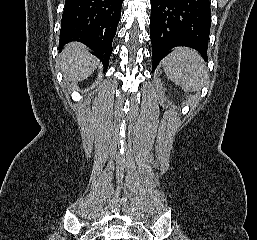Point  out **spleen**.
Instances as JSON below:
<instances>
[{"label": "spleen", "mask_w": 257, "mask_h": 240, "mask_svg": "<svg viewBox=\"0 0 257 240\" xmlns=\"http://www.w3.org/2000/svg\"><path fill=\"white\" fill-rule=\"evenodd\" d=\"M167 77L184 91L197 92L208 81V71L201 56L189 48H176L164 60Z\"/></svg>", "instance_id": "1"}]
</instances>
